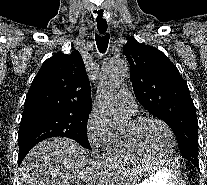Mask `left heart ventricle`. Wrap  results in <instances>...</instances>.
<instances>
[{"instance_id":"1","label":"left heart ventricle","mask_w":207,"mask_h":185,"mask_svg":"<svg viewBox=\"0 0 207 185\" xmlns=\"http://www.w3.org/2000/svg\"><path fill=\"white\" fill-rule=\"evenodd\" d=\"M130 127L128 125L127 129ZM139 142L154 157H165L171 149V138L167 130L156 121L144 123L137 132Z\"/></svg>"}]
</instances>
